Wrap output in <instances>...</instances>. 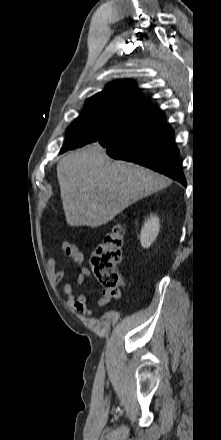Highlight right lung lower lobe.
Masks as SVG:
<instances>
[{"instance_id": "1", "label": "right lung lower lobe", "mask_w": 221, "mask_h": 440, "mask_svg": "<svg viewBox=\"0 0 221 440\" xmlns=\"http://www.w3.org/2000/svg\"><path fill=\"white\" fill-rule=\"evenodd\" d=\"M97 141L114 159L140 164L186 185L173 130L154 104L136 112Z\"/></svg>"}]
</instances>
